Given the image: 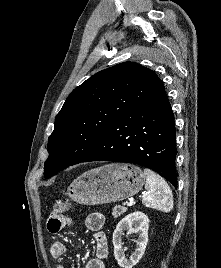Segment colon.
Here are the masks:
<instances>
[{
	"label": "colon",
	"mask_w": 221,
	"mask_h": 268,
	"mask_svg": "<svg viewBox=\"0 0 221 268\" xmlns=\"http://www.w3.org/2000/svg\"><path fill=\"white\" fill-rule=\"evenodd\" d=\"M71 204L68 199H57L53 203V213L55 215H63L69 208Z\"/></svg>",
	"instance_id": "5ec220e1"
}]
</instances>
